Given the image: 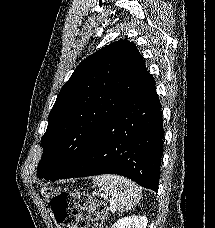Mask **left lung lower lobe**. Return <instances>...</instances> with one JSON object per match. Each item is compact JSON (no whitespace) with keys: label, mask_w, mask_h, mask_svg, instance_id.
<instances>
[{"label":"left lung lower lobe","mask_w":215,"mask_h":228,"mask_svg":"<svg viewBox=\"0 0 215 228\" xmlns=\"http://www.w3.org/2000/svg\"><path fill=\"white\" fill-rule=\"evenodd\" d=\"M163 137L161 105L147 72L75 163L52 181L117 174L157 192Z\"/></svg>","instance_id":"left-lung-lower-lobe-1"}]
</instances>
